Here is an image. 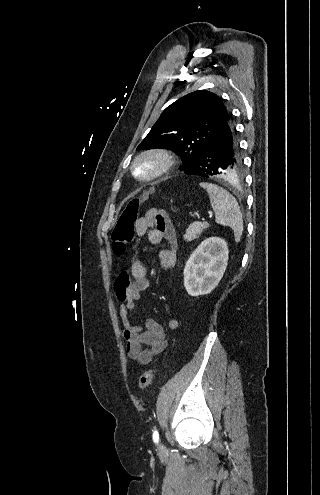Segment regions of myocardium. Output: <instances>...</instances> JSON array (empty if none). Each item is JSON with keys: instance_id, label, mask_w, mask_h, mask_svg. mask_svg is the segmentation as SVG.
<instances>
[{"instance_id": "obj_1", "label": "myocardium", "mask_w": 320, "mask_h": 495, "mask_svg": "<svg viewBox=\"0 0 320 495\" xmlns=\"http://www.w3.org/2000/svg\"><path fill=\"white\" fill-rule=\"evenodd\" d=\"M150 163L151 169L141 171V165ZM175 164L173 155L160 148L148 149L140 152L133 159L130 170L132 175L140 181L149 182L166 175Z\"/></svg>"}]
</instances>
